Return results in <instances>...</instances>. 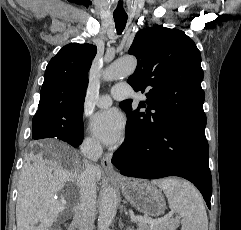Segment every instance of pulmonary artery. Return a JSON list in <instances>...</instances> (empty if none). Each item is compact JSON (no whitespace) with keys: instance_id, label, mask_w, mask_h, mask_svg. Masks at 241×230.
Masks as SVG:
<instances>
[{"instance_id":"1","label":"pulmonary artery","mask_w":241,"mask_h":230,"mask_svg":"<svg viewBox=\"0 0 241 230\" xmlns=\"http://www.w3.org/2000/svg\"><path fill=\"white\" fill-rule=\"evenodd\" d=\"M132 90L129 84L120 83L113 87L111 95H102L96 100L98 107L106 108L112 103V98L117 100H123L131 97Z\"/></svg>"}]
</instances>
